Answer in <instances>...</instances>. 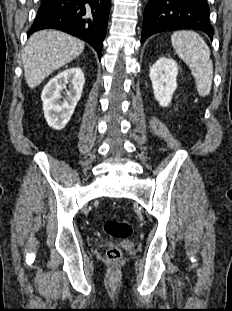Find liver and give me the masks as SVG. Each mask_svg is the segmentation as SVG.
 Wrapping results in <instances>:
<instances>
[{"instance_id":"liver-1","label":"liver","mask_w":232,"mask_h":311,"mask_svg":"<svg viewBox=\"0 0 232 311\" xmlns=\"http://www.w3.org/2000/svg\"><path fill=\"white\" fill-rule=\"evenodd\" d=\"M84 42L61 31H39L28 40L23 53L25 80L33 89L59 67L77 58Z\"/></svg>"}]
</instances>
